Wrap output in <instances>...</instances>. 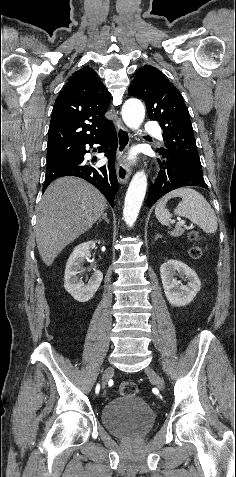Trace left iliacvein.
<instances>
[{
	"instance_id": "1",
	"label": "left iliac vein",
	"mask_w": 236,
	"mask_h": 477,
	"mask_svg": "<svg viewBox=\"0 0 236 477\" xmlns=\"http://www.w3.org/2000/svg\"><path fill=\"white\" fill-rule=\"evenodd\" d=\"M147 376L149 379L160 389H164V381L163 379L159 376V374L151 367H147L145 370Z\"/></svg>"
}]
</instances>
